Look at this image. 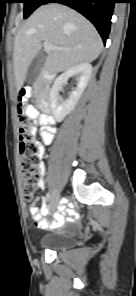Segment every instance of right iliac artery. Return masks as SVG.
<instances>
[{"mask_svg": "<svg viewBox=\"0 0 136 296\" xmlns=\"http://www.w3.org/2000/svg\"><path fill=\"white\" fill-rule=\"evenodd\" d=\"M53 198L50 196V193L48 192L47 194H46V200H49V202L51 203L53 200H52Z\"/></svg>", "mask_w": 136, "mask_h": 296, "instance_id": "82829eb1", "label": "right iliac artery"}]
</instances>
